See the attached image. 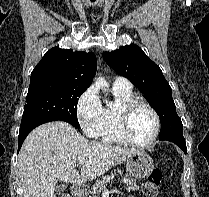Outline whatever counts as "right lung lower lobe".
<instances>
[{"label": "right lung lower lobe", "mask_w": 209, "mask_h": 197, "mask_svg": "<svg viewBox=\"0 0 209 197\" xmlns=\"http://www.w3.org/2000/svg\"><path fill=\"white\" fill-rule=\"evenodd\" d=\"M46 122H50V121H46ZM46 122H41V123H36V124H32V125H29L25 128H21L20 131H19V137H18V152L24 142V139L26 138V136L34 129L36 128L37 126L43 124V123H46Z\"/></svg>", "instance_id": "right-lung-lower-lobe-1"}]
</instances>
